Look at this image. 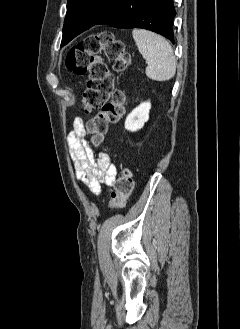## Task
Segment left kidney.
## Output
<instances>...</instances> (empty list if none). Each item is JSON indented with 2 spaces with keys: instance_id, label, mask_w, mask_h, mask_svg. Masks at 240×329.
<instances>
[{
  "instance_id": "1",
  "label": "left kidney",
  "mask_w": 240,
  "mask_h": 329,
  "mask_svg": "<svg viewBox=\"0 0 240 329\" xmlns=\"http://www.w3.org/2000/svg\"><path fill=\"white\" fill-rule=\"evenodd\" d=\"M151 103L149 101L141 103L127 116L125 129L134 132L141 129L149 119Z\"/></svg>"
}]
</instances>
